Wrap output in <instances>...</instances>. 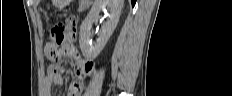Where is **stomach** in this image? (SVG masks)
I'll use <instances>...</instances> for the list:
<instances>
[{
	"instance_id": "0dacf381",
	"label": "stomach",
	"mask_w": 232,
	"mask_h": 96,
	"mask_svg": "<svg viewBox=\"0 0 232 96\" xmlns=\"http://www.w3.org/2000/svg\"><path fill=\"white\" fill-rule=\"evenodd\" d=\"M70 1L69 0H54L53 4L55 7H64L66 6Z\"/></svg>"
}]
</instances>
